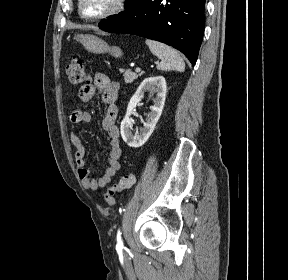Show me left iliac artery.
I'll use <instances>...</instances> for the list:
<instances>
[{
  "label": "left iliac artery",
  "instance_id": "left-iliac-artery-1",
  "mask_svg": "<svg viewBox=\"0 0 288 280\" xmlns=\"http://www.w3.org/2000/svg\"><path fill=\"white\" fill-rule=\"evenodd\" d=\"M123 249V240L121 238V231L120 229L117 231V245H116V250L117 251H122Z\"/></svg>",
  "mask_w": 288,
  "mask_h": 280
}]
</instances>
